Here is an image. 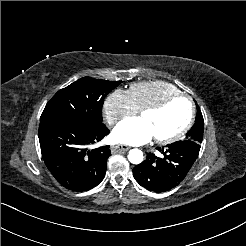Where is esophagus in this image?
Returning <instances> with one entry per match:
<instances>
[{
    "label": "esophagus",
    "mask_w": 246,
    "mask_h": 246,
    "mask_svg": "<svg viewBox=\"0 0 246 246\" xmlns=\"http://www.w3.org/2000/svg\"><path fill=\"white\" fill-rule=\"evenodd\" d=\"M110 149L112 153H119V152L128 151L129 147L127 145L118 144V145H112Z\"/></svg>",
    "instance_id": "obj_1"
}]
</instances>
